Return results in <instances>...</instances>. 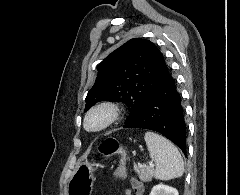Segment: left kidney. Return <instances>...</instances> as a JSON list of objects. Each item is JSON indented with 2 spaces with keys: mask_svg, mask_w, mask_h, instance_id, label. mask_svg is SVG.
<instances>
[{
  "mask_svg": "<svg viewBox=\"0 0 240 195\" xmlns=\"http://www.w3.org/2000/svg\"><path fill=\"white\" fill-rule=\"evenodd\" d=\"M150 195H179V193L176 187H170V185L158 183V185H153Z\"/></svg>",
  "mask_w": 240,
  "mask_h": 195,
  "instance_id": "5707ae66",
  "label": "left kidney"
}]
</instances>
